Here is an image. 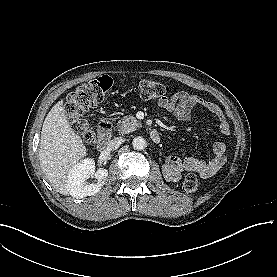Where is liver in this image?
I'll return each instance as SVG.
<instances>
[{
	"label": "liver",
	"mask_w": 277,
	"mask_h": 277,
	"mask_svg": "<svg viewBox=\"0 0 277 277\" xmlns=\"http://www.w3.org/2000/svg\"><path fill=\"white\" fill-rule=\"evenodd\" d=\"M87 151L81 137L67 121L63 101L57 102L44 120L39 143L40 167L57 192L80 198L68 176Z\"/></svg>",
	"instance_id": "liver-1"
}]
</instances>
